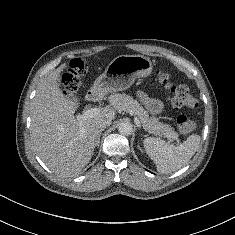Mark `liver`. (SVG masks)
Wrapping results in <instances>:
<instances>
[{
	"instance_id": "6515ba94",
	"label": "liver",
	"mask_w": 235,
	"mask_h": 235,
	"mask_svg": "<svg viewBox=\"0 0 235 235\" xmlns=\"http://www.w3.org/2000/svg\"><path fill=\"white\" fill-rule=\"evenodd\" d=\"M64 65L44 78L32 102L31 135L38 156L54 173L72 176L81 172L94 153L101 119H115L105 107L85 120L74 116L77 97L69 98L59 87ZM102 96V95H99Z\"/></svg>"
}]
</instances>
